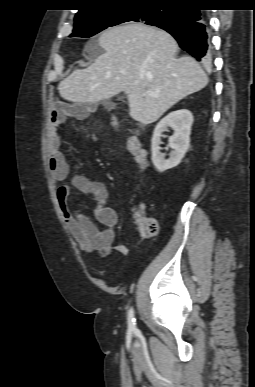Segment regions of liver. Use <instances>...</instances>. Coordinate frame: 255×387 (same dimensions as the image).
Masks as SVG:
<instances>
[{
    "mask_svg": "<svg viewBox=\"0 0 255 387\" xmlns=\"http://www.w3.org/2000/svg\"><path fill=\"white\" fill-rule=\"evenodd\" d=\"M98 44L104 53L59 83L63 99L83 104L124 92L130 117L148 125L208 83L192 57H176L178 45L164 30L130 23L104 31Z\"/></svg>",
    "mask_w": 255,
    "mask_h": 387,
    "instance_id": "1",
    "label": "liver"
}]
</instances>
